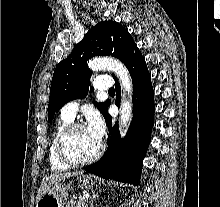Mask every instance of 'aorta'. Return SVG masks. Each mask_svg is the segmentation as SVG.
Returning a JSON list of instances; mask_svg holds the SVG:
<instances>
[{
  "mask_svg": "<svg viewBox=\"0 0 220 207\" xmlns=\"http://www.w3.org/2000/svg\"><path fill=\"white\" fill-rule=\"evenodd\" d=\"M88 67L92 71L110 70L117 75L120 80L123 97L120 105V131L123 137L132 119V92L133 84L131 76L125 65L118 59L112 57H97L88 62Z\"/></svg>",
  "mask_w": 220,
  "mask_h": 207,
  "instance_id": "762f6f07",
  "label": "aorta"
}]
</instances>
